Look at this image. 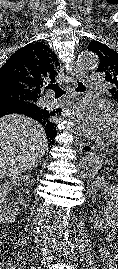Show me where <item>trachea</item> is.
<instances>
[{
  "mask_svg": "<svg viewBox=\"0 0 118 269\" xmlns=\"http://www.w3.org/2000/svg\"><path fill=\"white\" fill-rule=\"evenodd\" d=\"M46 88L53 90L55 92V95H63L64 93H66V91L63 90L58 83L50 84ZM76 90L79 92H84L86 91V87L81 82H77Z\"/></svg>",
  "mask_w": 118,
  "mask_h": 269,
  "instance_id": "3493384b",
  "label": "trachea"
}]
</instances>
